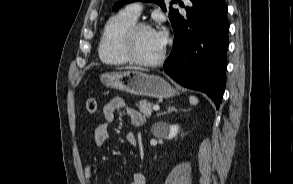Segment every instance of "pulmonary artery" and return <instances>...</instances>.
I'll return each instance as SVG.
<instances>
[{"label": "pulmonary artery", "mask_w": 293, "mask_h": 184, "mask_svg": "<svg viewBox=\"0 0 293 184\" xmlns=\"http://www.w3.org/2000/svg\"><path fill=\"white\" fill-rule=\"evenodd\" d=\"M124 11L132 16L133 18L137 19L142 11V6L140 3H131L126 6Z\"/></svg>", "instance_id": "e3ab8cb5"}]
</instances>
